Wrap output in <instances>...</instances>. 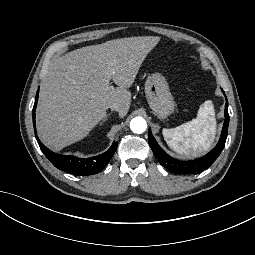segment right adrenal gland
I'll use <instances>...</instances> for the list:
<instances>
[{
    "label": "right adrenal gland",
    "instance_id": "2a0ac1e0",
    "mask_svg": "<svg viewBox=\"0 0 255 255\" xmlns=\"http://www.w3.org/2000/svg\"><path fill=\"white\" fill-rule=\"evenodd\" d=\"M107 116H110V113H109ZM107 116H106V118L103 120V122H104L105 120H107ZM103 122H101L100 125H102Z\"/></svg>",
    "mask_w": 255,
    "mask_h": 255
}]
</instances>
